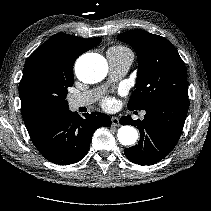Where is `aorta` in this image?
<instances>
[{
	"label": "aorta",
	"mask_w": 211,
	"mask_h": 211,
	"mask_svg": "<svg viewBox=\"0 0 211 211\" xmlns=\"http://www.w3.org/2000/svg\"><path fill=\"white\" fill-rule=\"evenodd\" d=\"M108 64L98 54H85L79 57L75 65L77 77L85 83H96L101 81L107 74ZM118 141L124 145H132L137 141V130L129 125L119 128L117 133Z\"/></svg>",
	"instance_id": "obj_1"
}]
</instances>
